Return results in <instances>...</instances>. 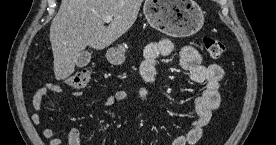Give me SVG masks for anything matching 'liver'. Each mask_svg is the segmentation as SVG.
Listing matches in <instances>:
<instances>
[{"mask_svg":"<svg viewBox=\"0 0 276 145\" xmlns=\"http://www.w3.org/2000/svg\"><path fill=\"white\" fill-rule=\"evenodd\" d=\"M143 0H62L51 22L50 42L56 80L74 73L87 46L102 50L125 34L137 19ZM113 20L105 26L103 18Z\"/></svg>","mask_w":276,"mask_h":145,"instance_id":"obj_1","label":"liver"}]
</instances>
